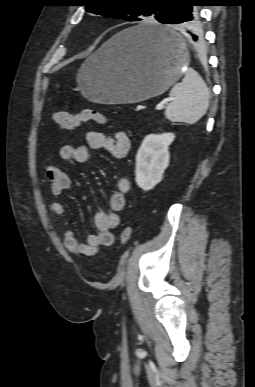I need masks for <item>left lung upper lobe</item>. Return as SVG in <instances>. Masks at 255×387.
I'll use <instances>...</instances> for the list:
<instances>
[{"label": "left lung upper lobe", "instance_id": "left-lung-upper-lobe-1", "mask_svg": "<svg viewBox=\"0 0 255 387\" xmlns=\"http://www.w3.org/2000/svg\"><path fill=\"white\" fill-rule=\"evenodd\" d=\"M183 0H81L86 11L110 18L140 21L144 16H153L166 23L173 4Z\"/></svg>", "mask_w": 255, "mask_h": 387}]
</instances>
